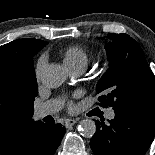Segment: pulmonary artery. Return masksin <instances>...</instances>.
Wrapping results in <instances>:
<instances>
[{
  "label": "pulmonary artery",
  "mask_w": 155,
  "mask_h": 155,
  "mask_svg": "<svg viewBox=\"0 0 155 155\" xmlns=\"http://www.w3.org/2000/svg\"><path fill=\"white\" fill-rule=\"evenodd\" d=\"M85 69L86 67L84 66H77V67L71 68L70 70L75 76H78V75H81L85 71ZM60 108H61V103L59 101L50 100L41 104L38 108H36L34 116L36 119H41L45 116L53 115L57 113L60 110ZM114 116H115L114 111H110L107 114V117L109 119H113Z\"/></svg>",
  "instance_id": "obj_1"
}]
</instances>
